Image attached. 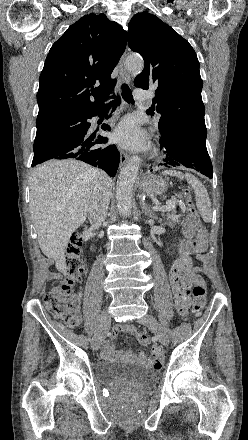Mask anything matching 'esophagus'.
I'll use <instances>...</instances> for the list:
<instances>
[{"label": "esophagus", "mask_w": 248, "mask_h": 440, "mask_svg": "<svg viewBox=\"0 0 248 440\" xmlns=\"http://www.w3.org/2000/svg\"><path fill=\"white\" fill-rule=\"evenodd\" d=\"M125 58H126V51L124 52V54L121 56V58L119 60L118 68H119V73H120L121 79L127 83H130L131 77L125 67ZM128 159H129V155L125 151L120 150V168L126 164Z\"/></svg>", "instance_id": "esophagus-1"}]
</instances>
